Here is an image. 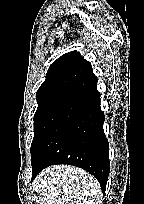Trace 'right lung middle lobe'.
Here are the masks:
<instances>
[{"label": "right lung middle lobe", "mask_w": 144, "mask_h": 204, "mask_svg": "<svg viewBox=\"0 0 144 204\" xmlns=\"http://www.w3.org/2000/svg\"><path fill=\"white\" fill-rule=\"evenodd\" d=\"M71 96H58L38 103L34 115V138L31 144V163L42 150L59 118L74 101Z\"/></svg>", "instance_id": "dd1d6c3e"}]
</instances>
